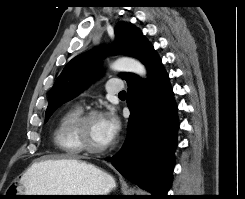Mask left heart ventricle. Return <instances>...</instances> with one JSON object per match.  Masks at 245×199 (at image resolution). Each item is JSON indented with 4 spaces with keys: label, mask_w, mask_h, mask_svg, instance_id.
Returning a JSON list of instances; mask_svg holds the SVG:
<instances>
[{
    "label": "left heart ventricle",
    "mask_w": 245,
    "mask_h": 199,
    "mask_svg": "<svg viewBox=\"0 0 245 199\" xmlns=\"http://www.w3.org/2000/svg\"><path fill=\"white\" fill-rule=\"evenodd\" d=\"M84 137L87 143L93 147H105L110 144L104 132L102 116H96L89 120Z\"/></svg>",
    "instance_id": "obj_1"
}]
</instances>
